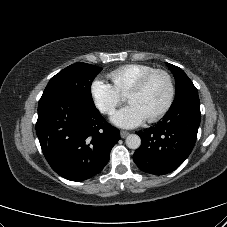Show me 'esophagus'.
<instances>
[{"mask_svg": "<svg viewBox=\"0 0 227 227\" xmlns=\"http://www.w3.org/2000/svg\"><path fill=\"white\" fill-rule=\"evenodd\" d=\"M120 135H121V138H126V137L129 135V132H128V131L122 130V131L120 132Z\"/></svg>", "mask_w": 227, "mask_h": 227, "instance_id": "obj_1", "label": "esophagus"}]
</instances>
